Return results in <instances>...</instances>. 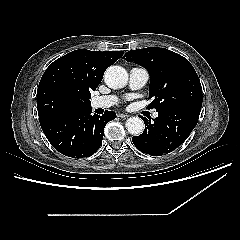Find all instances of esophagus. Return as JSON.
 I'll list each match as a JSON object with an SVG mask.
<instances>
[{"label":"esophagus","instance_id":"34e87169","mask_svg":"<svg viewBox=\"0 0 240 240\" xmlns=\"http://www.w3.org/2000/svg\"><path fill=\"white\" fill-rule=\"evenodd\" d=\"M117 116L120 118H128L129 117L128 114H123V113H119Z\"/></svg>","mask_w":240,"mask_h":240}]
</instances>
